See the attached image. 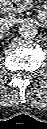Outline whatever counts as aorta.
<instances>
[{
	"instance_id": "1",
	"label": "aorta",
	"mask_w": 47,
	"mask_h": 129,
	"mask_svg": "<svg viewBox=\"0 0 47 129\" xmlns=\"http://www.w3.org/2000/svg\"><path fill=\"white\" fill-rule=\"evenodd\" d=\"M19 34L21 37L24 39L30 40L33 39L37 36L38 34V27L36 24L32 21H24L20 26H19Z\"/></svg>"
}]
</instances>
